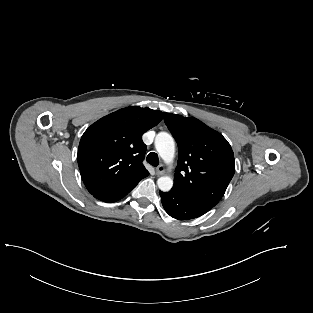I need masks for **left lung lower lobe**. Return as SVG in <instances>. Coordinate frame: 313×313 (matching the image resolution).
<instances>
[{"label":"left lung lower lobe","mask_w":313,"mask_h":313,"mask_svg":"<svg viewBox=\"0 0 313 313\" xmlns=\"http://www.w3.org/2000/svg\"><path fill=\"white\" fill-rule=\"evenodd\" d=\"M165 211L173 218L187 220L197 218L214 206L204 201L185 196L173 189L169 192L159 191Z\"/></svg>","instance_id":"1"}]
</instances>
